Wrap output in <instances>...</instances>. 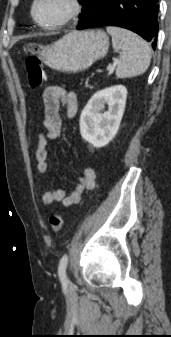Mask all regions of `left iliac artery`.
I'll use <instances>...</instances> for the list:
<instances>
[{"label":"left iliac artery","instance_id":"44dca946","mask_svg":"<svg viewBox=\"0 0 171 337\" xmlns=\"http://www.w3.org/2000/svg\"><path fill=\"white\" fill-rule=\"evenodd\" d=\"M67 263H68V256L67 254H64L60 260L59 267H58V275H59L60 281L63 284L68 283V279L66 275Z\"/></svg>","mask_w":171,"mask_h":337}]
</instances>
